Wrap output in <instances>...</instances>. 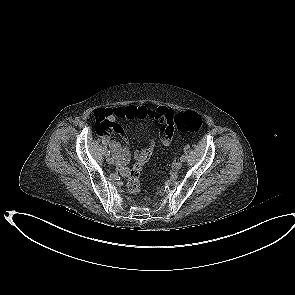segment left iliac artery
Wrapping results in <instances>:
<instances>
[{"label":"left iliac artery","instance_id":"44dca946","mask_svg":"<svg viewBox=\"0 0 295 295\" xmlns=\"http://www.w3.org/2000/svg\"><path fill=\"white\" fill-rule=\"evenodd\" d=\"M185 159H186V156H185V155H182V156L180 157V160H181L182 162H184Z\"/></svg>","mask_w":295,"mask_h":295}]
</instances>
